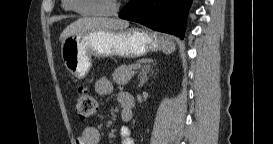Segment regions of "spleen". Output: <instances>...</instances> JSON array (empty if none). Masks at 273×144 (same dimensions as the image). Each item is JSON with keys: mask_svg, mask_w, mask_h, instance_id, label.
Instances as JSON below:
<instances>
[{"mask_svg": "<svg viewBox=\"0 0 273 144\" xmlns=\"http://www.w3.org/2000/svg\"><path fill=\"white\" fill-rule=\"evenodd\" d=\"M162 50L164 53L169 54L175 50V46L170 40L166 37H161Z\"/></svg>", "mask_w": 273, "mask_h": 144, "instance_id": "1", "label": "spleen"}]
</instances>
